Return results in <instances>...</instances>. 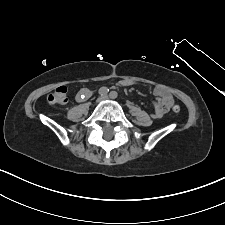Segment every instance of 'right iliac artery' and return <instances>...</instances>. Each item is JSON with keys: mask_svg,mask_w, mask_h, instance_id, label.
<instances>
[{"mask_svg": "<svg viewBox=\"0 0 225 225\" xmlns=\"http://www.w3.org/2000/svg\"><path fill=\"white\" fill-rule=\"evenodd\" d=\"M108 92H109V89H108L107 87H101V88L99 89V94H100L101 96L107 95Z\"/></svg>", "mask_w": 225, "mask_h": 225, "instance_id": "82829eb1", "label": "right iliac artery"}]
</instances>
